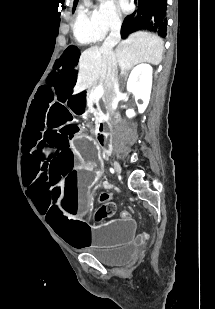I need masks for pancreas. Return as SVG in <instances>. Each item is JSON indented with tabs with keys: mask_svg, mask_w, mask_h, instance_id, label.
<instances>
[{
	"mask_svg": "<svg viewBox=\"0 0 215 309\" xmlns=\"http://www.w3.org/2000/svg\"><path fill=\"white\" fill-rule=\"evenodd\" d=\"M95 88H89V90H87V104L89 106V112H92V114H94L96 120H95V124L97 126V124H99L100 120H103V118H105V114L97 100V98H95L94 94H92V92H94Z\"/></svg>",
	"mask_w": 215,
	"mask_h": 309,
	"instance_id": "pancreas-1",
	"label": "pancreas"
}]
</instances>
